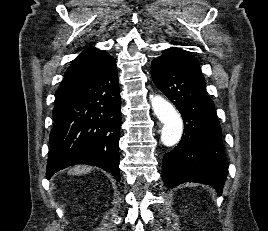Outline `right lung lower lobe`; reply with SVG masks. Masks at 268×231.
<instances>
[{"label":"right lung lower lobe","instance_id":"obj_1","mask_svg":"<svg viewBox=\"0 0 268 231\" xmlns=\"http://www.w3.org/2000/svg\"><path fill=\"white\" fill-rule=\"evenodd\" d=\"M46 177L77 163L110 172L117 181L121 97L116 60L78 83L53 109Z\"/></svg>","mask_w":268,"mask_h":231}]
</instances>
